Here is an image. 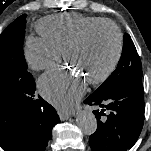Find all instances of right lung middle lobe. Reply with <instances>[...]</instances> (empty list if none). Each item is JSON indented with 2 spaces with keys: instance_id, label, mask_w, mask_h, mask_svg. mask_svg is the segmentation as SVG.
Masks as SVG:
<instances>
[{
  "instance_id": "dd1d6c3e",
  "label": "right lung middle lobe",
  "mask_w": 151,
  "mask_h": 151,
  "mask_svg": "<svg viewBox=\"0 0 151 151\" xmlns=\"http://www.w3.org/2000/svg\"><path fill=\"white\" fill-rule=\"evenodd\" d=\"M26 14L18 17L0 35V75L8 78V88L0 93V102L19 107L22 92L20 79L28 75L23 53Z\"/></svg>"
}]
</instances>
